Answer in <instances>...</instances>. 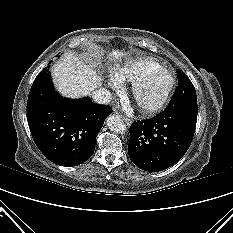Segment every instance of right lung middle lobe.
Returning <instances> with one entry per match:
<instances>
[{
  "label": "right lung middle lobe",
  "mask_w": 233,
  "mask_h": 233,
  "mask_svg": "<svg viewBox=\"0 0 233 233\" xmlns=\"http://www.w3.org/2000/svg\"><path fill=\"white\" fill-rule=\"evenodd\" d=\"M49 68H50V65H48V67H45L39 74L36 78H40L42 76H44L45 74H47L49 72Z\"/></svg>",
  "instance_id": "obj_1"
}]
</instances>
